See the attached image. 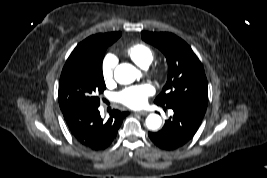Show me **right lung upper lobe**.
<instances>
[{"label":"right lung upper lobe","instance_id":"1","mask_svg":"<svg viewBox=\"0 0 267 178\" xmlns=\"http://www.w3.org/2000/svg\"><path fill=\"white\" fill-rule=\"evenodd\" d=\"M120 36H121L120 32H112V33L97 34V35L90 36L87 39H85L84 41H82L81 43H79L77 45V47L73 50V52L79 50L80 47L87 41L94 40V39H102L103 40V39H109V38H119Z\"/></svg>","mask_w":267,"mask_h":178}]
</instances>
